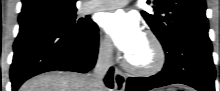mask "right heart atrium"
Here are the masks:
<instances>
[{
  "mask_svg": "<svg viewBox=\"0 0 220 91\" xmlns=\"http://www.w3.org/2000/svg\"><path fill=\"white\" fill-rule=\"evenodd\" d=\"M98 50H99L100 57L102 59L110 60L112 58L113 46H112V43L110 42V40L107 37L102 36L99 39Z\"/></svg>",
  "mask_w": 220,
  "mask_h": 91,
  "instance_id": "right-heart-atrium-1",
  "label": "right heart atrium"
}]
</instances>
